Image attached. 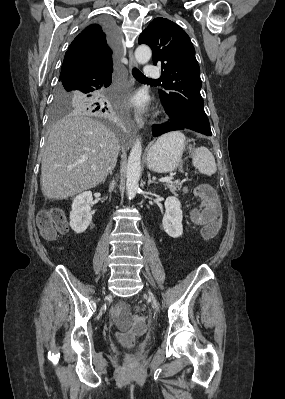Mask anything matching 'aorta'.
<instances>
[{
	"instance_id": "aorta-1",
	"label": "aorta",
	"mask_w": 285,
	"mask_h": 399,
	"mask_svg": "<svg viewBox=\"0 0 285 399\" xmlns=\"http://www.w3.org/2000/svg\"><path fill=\"white\" fill-rule=\"evenodd\" d=\"M152 56L151 49L147 45H140L135 51V58L139 64H146ZM141 138H137L130 151L127 162L126 189L129 199H133L139 189L141 174Z\"/></svg>"
}]
</instances>
